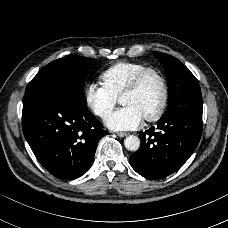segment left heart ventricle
Masks as SVG:
<instances>
[{"instance_id":"b2bd125f","label":"left heart ventricle","mask_w":228,"mask_h":228,"mask_svg":"<svg viewBox=\"0 0 228 228\" xmlns=\"http://www.w3.org/2000/svg\"><path fill=\"white\" fill-rule=\"evenodd\" d=\"M163 100V87L161 81L154 74L148 75L139 89L121 98L124 106H132L143 117L155 113Z\"/></svg>"}]
</instances>
